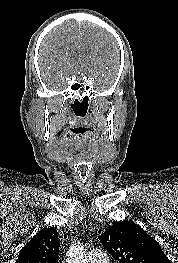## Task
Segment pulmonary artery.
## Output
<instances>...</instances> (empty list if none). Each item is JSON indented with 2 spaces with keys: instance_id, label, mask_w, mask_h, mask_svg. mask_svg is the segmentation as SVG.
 <instances>
[{
  "instance_id": "1",
  "label": "pulmonary artery",
  "mask_w": 178,
  "mask_h": 263,
  "mask_svg": "<svg viewBox=\"0 0 178 263\" xmlns=\"http://www.w3.org/2000/svg\"><path fill=\"white\" fill-rule=\"evenodd\" d=\"M89 263H109L108 256L98 249H93L88 253Z\"/></svg>"
}]
</instances>
